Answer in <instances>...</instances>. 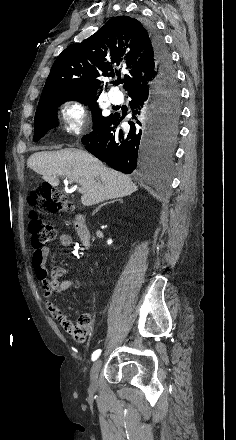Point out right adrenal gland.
Here are the masks:
<instances>
[{
    "label": "right adrenal gland",
    "instance_id": "obj_1",
    "mask_svg": "<svg viewBox=\"0 0 236 440\" xmlns=\"http://www.w3.org/2000/svg\"><path fill=\"white\" fill-rule=\"evenodd\" d=\"M116 201L122 202V199H116V200H113V201H109V202L103 203L102 205H100V206L95 210L94 213L98 212V211L101 209V207H103V206H105V205H107V204L114 203V202H116Z\"/></svg>",
    "mask_w": 236,
    "mask_h": 440
}]
</instances>
